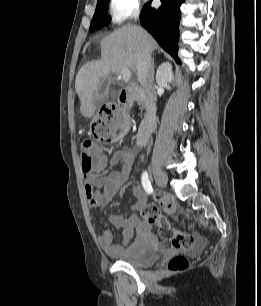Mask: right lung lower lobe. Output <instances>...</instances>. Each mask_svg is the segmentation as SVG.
Returning <instances> with one entry per match:
<instances>
[{
	"label": "right lung lower lobe",
	"instance_id": "right-lung-lower-lobe-1",
	"mask_svg": "<svg viewBox=\"0 0 261 306\" xmlns=\"http://www.w3.org/2000/svg\"><path fill=\"white\" fill-rule=\"evenodd\" d=\"M151 1L142 9L141 24L160 46L179 62L177 57L178 25L181 16L180 6L184 0H161L162 5L157 9L151 8Z\"/></svg>",
	"mask_w": 261,
	"mask_h": 306
}]
</instances>
